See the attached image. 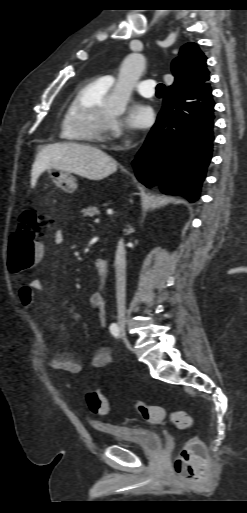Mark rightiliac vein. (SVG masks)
Instances as JSON below:
<instances>
[{"label": "right iliac vein", "instance_id": "1", "mask_svg": "<svg viewBox=\"0 0 247 513\" xmlns=\"http://www.w3.org/2000/svg\"><path fill=\"white\" fill-rule=\"evenodd\" d=\"M119 327H120L121 335H122L124 341L127 343L128 346H130L129 339H128V336L126 334V324H125V322H123V321L120 322Z\"/></svg>", "mask_w": 247, "mask_h": 513}]
</instances>
